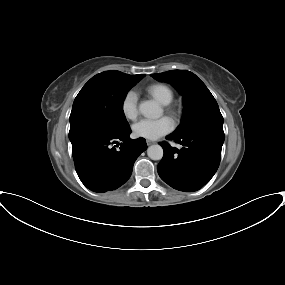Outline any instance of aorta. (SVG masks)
I'll list each match as a JSON object with an SVG mask.
<instances>
[{"instance_id": "1", "label": "aorta", "mask_w": 285, "mask_h": 285, "mask_svg": "<svg viewBox=\"0 0 285 285\" xmlns=\"http://www.w3.org/2000/svg\"><path fill=\"white\" fill-rule=\"evenodd\" d=\"M139 111L147 118H158L162 114V108L159 104L152 100H147L139 105ZM147 155L152 160H161L163 157V148L156 144L151 145L147 149Z\"/></svg>"}]
</instances>
